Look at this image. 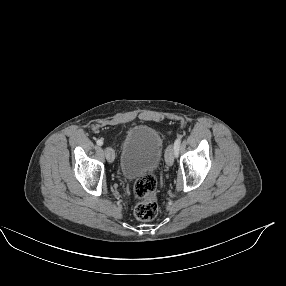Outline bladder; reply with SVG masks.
I'll use <instances>...</instances> for the list:
<instances>
[{
	"mask_svg": "<svg viewBox=\"0 0 286 286\" xmlns=\"http://www.w3.org/2000/svg\"><path fill=\"white\" fill-rule=\"evenodd\" d=\"M163 140L156 129L147 125L131 127L125 134L119 157V170L128 181L156 171L161 163Z\"/></svg>",
	"mask_w": 286,
	"mask_h": 286,
	"instance_id": "31cf9c89",
	"label": "bladder"
}]
</instances>
